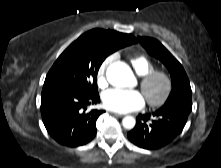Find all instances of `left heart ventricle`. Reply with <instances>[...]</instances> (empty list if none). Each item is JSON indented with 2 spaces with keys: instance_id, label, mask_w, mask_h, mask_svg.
Returning a JSON list of instances; mask_svg holds the SVG:
<instances>
[{
  "instance_id": "b2bd125f",
  "label": "left heart ventricle",
  "mask_w": 221,
  "mask_h": 168,
  "mask_svg": "<svg viewBox=\"0 0 221 168\" xmlns=\"http://www.w3.org/2000/svg\"><path fill=\"white\" fill-rule=\"evenodd\" d=\"M164 89V84L160 79L155 80L144 92L145 98L157 99Z\"/></svg>"
}]
</instances>
